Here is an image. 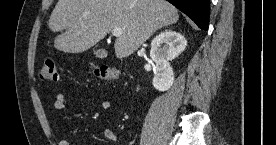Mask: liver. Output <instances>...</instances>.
Segmentation results:
<instances>
[{"label":"liver","instance_id":"liver-1","mask_svg":"<svg viewBox=\"0 0 276 145\" xmlns=\"http://www.w3.org/2000/svg\"><path fill=\"white\" fill-rule=\"evenodd\" d=\"M178 19V10L166 0H58L48 26L61 32L54 47L66 53L84 52L121 28L114 48L117 58H125Z\"/></svg>","mask_w":276,"mask_h":145}]
</instances>
